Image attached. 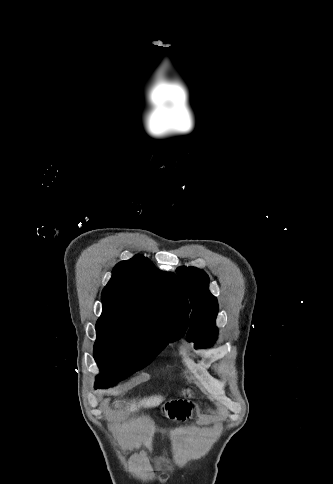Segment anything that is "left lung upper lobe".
I'll list each match as a JSON object with an SVG mask.
<instances>
[{"instance_id":"left-lung-upper-lobe-1","label":"left lung upper lobe","mask_w":333,"mask_h":484,"mask_svg":"<svg viewBox=\"0 0 333 484\" xmlns=\"http://www.w3.org/2000/svg\"><path fill=\"white\" fill-rule=\"evenodd\" d=\"M177 274L193 309L187 339L195 342L196 348L209 347L218 333L215 326L218 302L209 291V277L196 267H179Z\"/></svg>"}]
</instances>
